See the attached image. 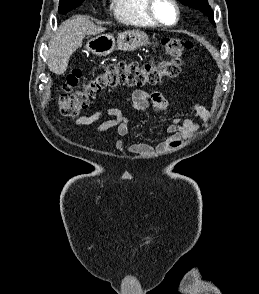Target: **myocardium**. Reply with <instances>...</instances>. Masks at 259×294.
<instances>
[{
  "label": "myocardium",
  "mask_w": 259,
  "mask_h": 294,
  "mask_svg": "<svg viewBox=\"0 0 259 294\" xmlns=\"http://www.w3.org/2000/svg\"><path fill=\"white\" fill-rule=\"evenodd\" d=\"M147 3H146V13L148 15V17L150 18V20L156 24L157 26H161V27H173L175 25H177V23L179 22L180 20V8L177 4V2L175 0H167L171 5L172 7L174 8V11H175V20L173 23H165L163 21H161L158 16L156 15L155 13V3L158 1V0H146Z\"/></svg>",
  "instance_id": "f54148a6"
}]
</instances>
